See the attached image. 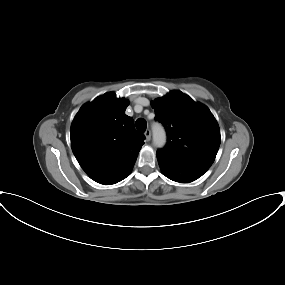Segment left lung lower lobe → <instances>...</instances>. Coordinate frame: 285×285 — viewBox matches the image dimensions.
<instances>
[{
  "label": "left lung lower lobe",
  "instance_id": "1",
  "mask_svg": "<svg viewBox=\"0 0 285 285\" xmlns=\"http://www.w3.org/2000/svg\"><path fill=\"white\" fill-rule=\"evenodd\" d=\"M157 159L163 174L169 179L180 183L192 182L207 171L189 164L173 161L160 153H157Z\"/></svg>",
  "mask_w": 285,
  "mask_h": 285
}]
</instances>
